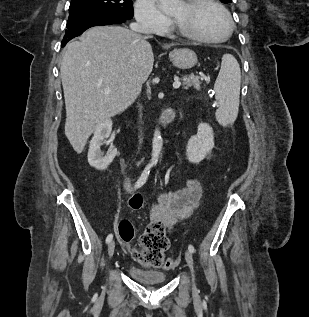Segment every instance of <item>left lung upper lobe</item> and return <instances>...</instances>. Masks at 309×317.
Here are the masks:
<instances>
[{"label": "left lung upper lobe", "instance_id": "left-lung-upper-lobe-1", "mask_svg": "<svg viewBox=\"0 0 309 317\" xmlns=\"http://www.w3.org/2000/svg\"><path fill=\"white\" fill-rule=\"evenodd\" d=\"M223 3H229V2H232V0H221Z\"/></svg>", "mask_w": 309, "mask_h": 317}]
</instances>
